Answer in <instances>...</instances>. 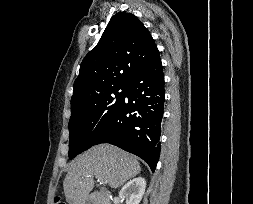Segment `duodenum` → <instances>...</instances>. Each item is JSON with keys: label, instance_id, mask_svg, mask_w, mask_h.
Returning <instances> with one entry per match:
<instances>
[{"label": "duodenum", "instance_id": "duodenum-1", "mask_svg": "<svg viewBox=\"0 0 253 204\" xmlns=\"http://www.w3.org/2000/svg\"><path fill=\"white\" fill-rule=\"evenodd\" d=\"M84 204H112V196L106 190L97 191L87 197Z\"/></svg>", "mask_w": 253, "mask_h": 204}]
</instances>
